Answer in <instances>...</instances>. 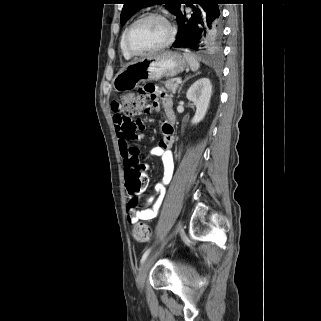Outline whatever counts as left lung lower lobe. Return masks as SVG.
I'll return each mask as SVG.
<instances>
[{"instance_id": "0a47b994", "label": "left lung lower lobe", "mask_w": 321, "mask_h": 321, "mask_svg": "<svg viewBox=\"0 0 321 321\" xmlns=\"http://www.w3.org/2000/svg\"><path fill=\"white\" fill-rule=\"evenodd\" d=\"M193 8L186 14L180 7L176 13L178 32L173 47L190 48L205 53H219L223 38L222 0H186Z\"/></svg>"}]
</instances>
